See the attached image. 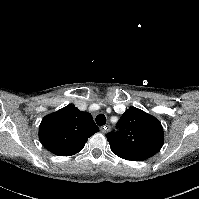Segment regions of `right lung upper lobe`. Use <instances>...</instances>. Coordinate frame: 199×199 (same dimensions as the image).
<instances>
[{
	"instance_id": "cb5924a9",
	"label": "right lung upper lobe",
	"mask_w": 199,
	"mask_h": 199,
	"mask_svg": "<svg viewBox=\"0 0 199 199\" xmlns=\"http://www.w3.org/2000/svg\"><path fill=\"white\" fill-rule=\"evenodd\" d=\"M98 131L90 113L68 105L42 119L39 139L50 152L71 156L81 151L87 139Z\"/></svg>"
}]
</instances>
